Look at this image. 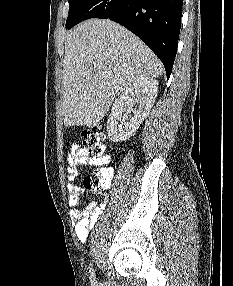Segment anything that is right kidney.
<instances>
[{
    "label": "right kidney",
    "instance_id": "right-kidney-1",
    "mask_svg": "<svg viewBox=\"0 0 233 286\" xmlns=\"http://www.w3.org/2000/svg\"><path fill=\"white\" fill-rule=\"evenodd\" d=\"M157 94L158 81L152 77H142L129 85L112 106L107 121L109 140L129 139L150 113Z\"/></svg>",
    "mask_w": 233,
    "mask_h": 286
}]
</instances>
